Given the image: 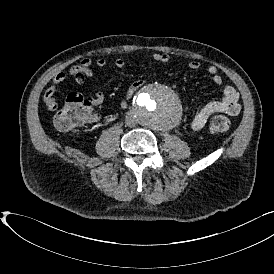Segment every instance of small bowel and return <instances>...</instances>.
Instances as JSON below:
<instances>
[{
	"instance_id": "c3829d8e",
	"label": "small bowel",
	"mask_w": 274,
	"mask_h": 274,
	"mask_svg": "<svg viewBox=\"0 0 274 274\" xmlns=\"http://www.w3.org/2000/svg\"><path fill=\"white\" fill-rule=\"evenodd\" d=\"M148 58L153 62L162 64L169 63L172 60L170 55L166 53H153L149 55ZM106 65L107 61L105 58L100 57L95 61L86 58L72 66L67 74L59 73L56 75L50 87L43 90L41 93L44 102L47 103L49 111L52 113L58 111L59 106L53 95L57 88L65 82L67 76L72 77L77 84L82 85L87 78H92L94 76V67L104 68ZM114 66L118 69H122L125 66V60L123 58H117L114 61ZM187 67L191 70H198L201 68V63L197 60H192L188 62ZM206 70L214 84L221 85L223 83V76L216 66L209 65ZM145 82V80L140 79L129 86L121 102L123 108L126 107L131 96L139 90ZM74 95L77 99H81L89 109L98 107L104 102V94L101 91H94L93 94L87 98H82L78 94ZM240 110L241 105L237 90L232 86H225L222 90V99L220 101H210L202 105L190 119L189 125L193 131H199L205 126L210 116L218 113L234 116L237 115ZM100 120L101 115L99 113L90 112L86 123H97Z\"/></svg>"
}]
</instances>
